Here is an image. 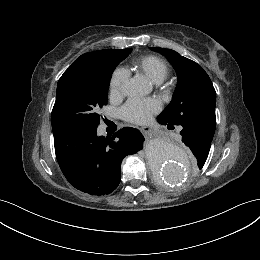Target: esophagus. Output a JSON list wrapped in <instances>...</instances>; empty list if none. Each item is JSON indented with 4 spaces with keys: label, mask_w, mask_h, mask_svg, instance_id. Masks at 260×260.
<instances>
[{
    "label": "esophagus",
    "mask_w": 260,
    "mask_h": 260,
    "mask_svg": "<svg viewBox=\"0 0 260 260\" xmlns=\"http://www.w3.org/2000/svg\"><path fill=\"white\" fill-rule=\"evenodd\" d=\"M140 130L145 134V135H151L152 130L148 125H144L140 127Z\"/></svg>",
    "instance_id": "1"
}]
</instances>
